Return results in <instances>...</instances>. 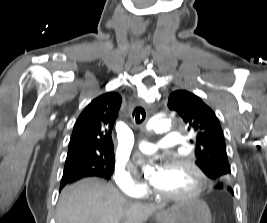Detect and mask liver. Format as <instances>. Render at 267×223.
<instances>
[{"label": "liver", "instance_id": "1", "mask_svg": "<svg viewBox=\"0 0 267 223\" xmlns=\"http://www.w3.org/2000/svg\"><path fill=\"white\" fill-rule=\"evenodd\" d=\"M164 204L132 202L111 184L87 178L65 187L57 204V223H144Z\"/></svg>", "mask_w": 267, "mask_h": 223}]
</instances>
